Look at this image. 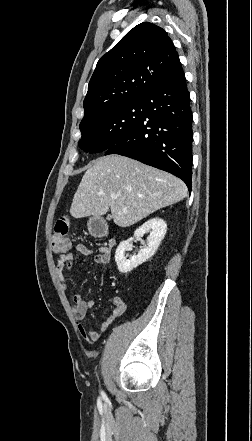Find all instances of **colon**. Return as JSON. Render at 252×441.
<instances>
[{
    "label": "colon",
    "mask_w": 252,
    "mask_h": 441,
    "mask_svg": "<svg viewBox=\"0 0 252 441\" xmlns=\"http://www.w3.org/2000/svg\"><path fill=\"white\" fill-rule=\"evenodd\" d=\"M68 230L69 223L68 220L64 218L59 220L54 228L52 250L55 254L59 256L60 259L64 258L70 249Z\"/></svg>",
    "instance_id": "1"
}]
</instances>
